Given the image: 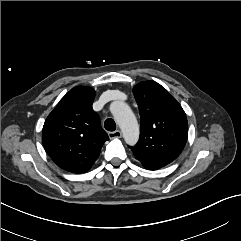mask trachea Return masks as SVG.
I'll use <instances>...</instances> for the list:
<instances>
[{
	"instance_id": "obj_1",
	"label": "trachea",
	"mask_w": 241,
	"mask_h": 241,
	"mask_svg": "<svg viewBox=\"0 0 241 241\" xmlns=\"http://www.w3.org/2000/svg\"><path fill=\"white\" fill-rule=\"evenodd\" d=\"M104 127L108 131H111V132L115 131L116 129L115 121L111 118L106 119L104 123Z\"/></svg>"
}]
</instances>
